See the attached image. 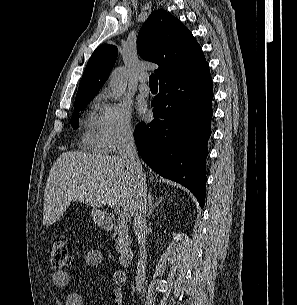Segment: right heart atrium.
I'll use <instances>...</instances> for the list:
<instances>
[{"label":"right heart atrium","instance_id":"d8ad5b80","mask_svg":"<svg viewBox=\"0 0 297 305\" xmlns=\"http://www.w3.org/2000/svg\"><path fill=\"white\" fill-rule=\"evenodd\" d=\"M100 106L99 126L105 150L118 152L135 136V126L130 109L122 102H113L106 93L97 98Z\"/></svg>","mask_w":297,"mask_h":305}]
</instances>
